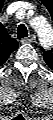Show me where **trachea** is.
Listing matches in <instances>:
<instances>
[{
	"label": "trachea",
	"instance_id": "obj_1",
	"mask_svg": "<svg viewBox=\"0 0 53 120\" xmlns=\"http://www.w3.org/2000/svg\"><path fill=\"white\" fill-rule=\"evenodd\" d=\"M28 37V31L24 24H20L17 28V38L22 39Z\"/></svg>",
	"mask_w": 53,
	"mask_h": 120
}]
</instances>
